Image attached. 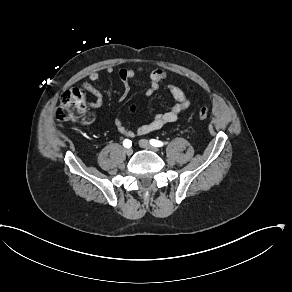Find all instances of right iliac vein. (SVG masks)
<instances>
[{
	"mask_svg": "<svg viewBox=\"0 0 292 292\" xmlns=\"http://www.w3.org/2000/svg\"><path fill=\"white\" fill-rule=\"evenodd\" d=\"M125 153H126L127 155H132V153H133V149H132V148H126V149H125Z\"/></svg>",
	"mask_w": 292,
	"mask_h": 292,
	"instance_id": "1",
	"label": "right iliac vein"
}]
</instances>
